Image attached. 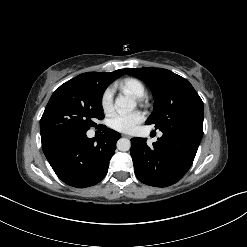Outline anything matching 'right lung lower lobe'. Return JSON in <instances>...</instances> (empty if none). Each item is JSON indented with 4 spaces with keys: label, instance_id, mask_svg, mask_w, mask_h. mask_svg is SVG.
Segmentation results:
<instances>
[{
    "label": "right lung lower lobe",
    "instance_id": "obj_1",
    "mask_svg": "<svg viewBox=\"0 0 247 247\" xmlns=\"http://www.w3.org/2000/svg\"><path fill=\"white\" fill-rule=\"evenodd\" d=\"M105 128L98 139H90L86 133L41 138L48 162L64 183L84 188L99 183L105 177L120 138V133Z\"/></svg>",
    "mask_w": 247,
    "mask_h": 247
}]
</instances>
